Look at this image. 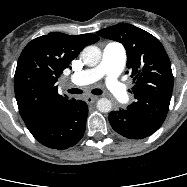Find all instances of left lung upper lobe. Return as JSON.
Listing matches in <instances>:
<instances>
[{
	"label": "left lung upper lobe",
	"instance_id": "5c2ea615",
	"mask_svg": "<svg viewBox=\"0 0 187 187\" xmlns=\"http://www.w3.org/2000/svg\"><path fill=\"white\" fill-rule=\"evenodd\" d=\"M97 34L122 43L126 49L136 99L127 111L160 127L173 91L171 63L163 45L150 33L127 23L105 28Z\"/></svg>",
	"mask_w": 187,
	"mask_h": 187
}]
</instances>
